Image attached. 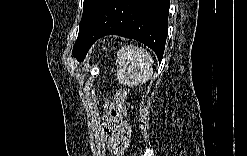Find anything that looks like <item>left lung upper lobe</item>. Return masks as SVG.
Returning <instances> with one entry per match:
<instances>
[{"instance_id":"5c2ea615","label":"left lung upper lobe","mask_w":247,"mask_h":156,"mask_svg":"<svg viewBox=\"0 0 247 156\" xmlns=\"http://www.w3.org/2000/svg\"><path fill=\"white\" fill-rule=\"evenodd\" d=\"M105 2L106 0H84L79 34L73 47V56L77 59L85 48L86 32Z\"/></svg>"}]
</instances>
